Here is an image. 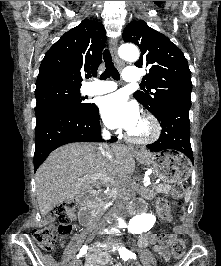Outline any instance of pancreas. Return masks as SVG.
I'll list each match as a JSON object with an SVG mask.
<instances>
[{
    "label": "pancreas",
    "instance_id": "obj_1",
    "mask_svg": "<svg viewBox=\"0 0 221 266\" xmlns=\"http://www.w3.org/2000/svg\"><path fill=\"white\" fill-rule=\"evenodd\" d=\"M155 189V193H165L168 194L171 189L172 186L168 185V184H160L156 187H154ZM113 196V192H109L108 194H106L105 196H103L98 202H97V207L100 208L101 206L107 205L110 202V198Z\"/></svg>",
    "mask_w": 221,
    "mask_h": 266
}]
</instances>
